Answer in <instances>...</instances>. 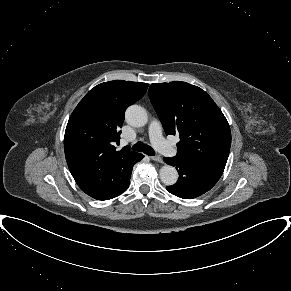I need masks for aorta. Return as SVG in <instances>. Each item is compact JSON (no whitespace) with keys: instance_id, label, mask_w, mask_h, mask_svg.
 <instances>
[{"instance_id":"obj_1","label":"aorta","mask_w":291,"mask_h":291,"mask_svg":"<svg viewBox=\"0 0 291 291\" xmlns=\"http://www.w3.org/2000/svg\"><path fill=\"white\" fill-rule=\"evenodd\" d=\"M127 123L134 127H142L147 124L148 116L146 110L139 105H131L127 108L125 113ZM161 181L165 185H174L178 180L177 170L170 165H164L159 170Z\"/></svg>"}]
</instances>
